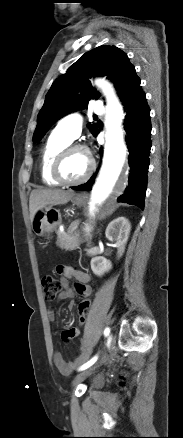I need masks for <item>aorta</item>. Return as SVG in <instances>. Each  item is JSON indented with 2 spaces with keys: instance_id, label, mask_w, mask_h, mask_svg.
Returning a JSON list of instances; mask_svg holds the SVG:
<instances>
[{
  "instance_id": "762f6f07",
  "label": "aorta",
  "mask_w": 183,
  "mask_h": 438,
  "mask_svg": "<svg viewBox=\"0 0 183 438\" xmlns=\"http://www.w3.org/2000/svg\"><path fill=\"white\" fill-rule=\"evenodd\" d=\"M107 99V114L105 126L107 128L103 164L96 183L92 188L90 203L91 217H95V204L104 201L112 192L125 163L127 148L124 143L121 122L123 110L112 86L103 79L96 80ZM93 227V218L85 225V234L89 235Z\"/></svg>"
}]
</instances>
